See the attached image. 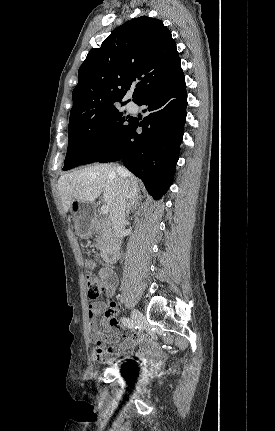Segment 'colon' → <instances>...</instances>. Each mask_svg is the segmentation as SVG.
Segmentation results:
<instances>
[{"instance_id": "5ec220e1", "label": "colon", "mask_w": 275, "mask_h": 431, "mask_svg": "<svg viewBox=\"0 0 275 431\" xmlns=\"http://www.w3.org/2000/svg\"><path fill=\"white\" fill-rule=\"evenodd\" d=\"M86 283L89 298L91 300L98 299L105 289L103 279L96 273H89L86 276Z\"/></svg>"}]
</instances>
